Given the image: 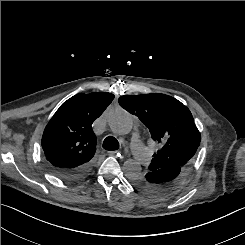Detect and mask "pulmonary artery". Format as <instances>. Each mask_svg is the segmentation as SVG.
<instances>
[{"label":"pulmonary artery","instance_id":"pulmonary-artery-1","mask_svg":"<svg viewBox=\"0 0 245 245\" xmlns=\"http://www.w3.org/2000/svg\"><path fill=\"white\" fill-rule=\"evenodd\" d=\"M132 151L135 160L139 164L143 166H148L150 164L149 150L141 143L137 133H135L132 137Z\"/></svg>","mask_w":245,"mask_h":245}]
</instances>
